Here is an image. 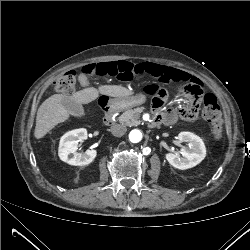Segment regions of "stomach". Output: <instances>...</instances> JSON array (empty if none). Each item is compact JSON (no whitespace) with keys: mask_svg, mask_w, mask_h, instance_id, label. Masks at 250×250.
Returning <instances> with one entry per match:
<instances>
[{"mask_svg":"<svg viewBox=\"0 0 250 250\" xmlns=\"http://www.w3.org/2000/svg\"><path fill=\"white\" fill-rule=\"evenodd\" d=\"M146 101L144 94H137L134 96L118 97L112 100V104L118 109L131 108L141 105Z\"/></svg>","mask_w":250,"mask_h":250,"instance_id":"obj_1","label":"stomach"}]
</instances>
